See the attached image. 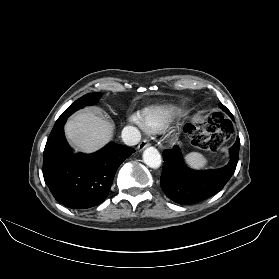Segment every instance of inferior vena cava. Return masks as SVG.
<instances>
[{"mask_svg": "<svg viewBox=\"0 0 279 279\" xmlns=\"http://www.w3.org/2000/svg\"><path fill=\"white\" fill-rule=\"evenodd\" d=\"M122 139L128 146H134L141 140V134L139 130L133 126H126L122 130Z\"/></svg>", "mask_w": 279, "mask_h": 279, "instance_id": "inferior-vena-cava-1", "label": "inferior vena cava"}]
</instances>
